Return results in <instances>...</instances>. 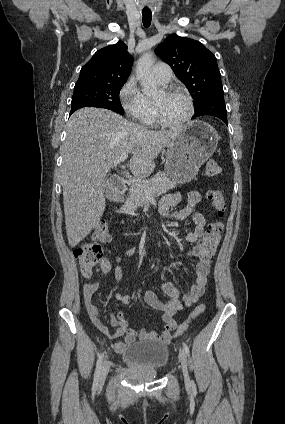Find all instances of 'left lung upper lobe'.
<instances>
[{
	"label": "left lung upper lobe",
	"mask_w": 285,
	"mask_h": 424,
	"mask_svg": "<svg viewBox=\"0 0 285 424\" xmlns=\"http://www.w3.org/2000/svg\"><path fill=\"white\" fill-rule=\"evenodd\" d=\"M155 52L185 84L195 109L211 98L224 97L216 57L199 41L170 35Z\"/></svg>",
	"instance_id": "obj_1"
}]
</instances>
